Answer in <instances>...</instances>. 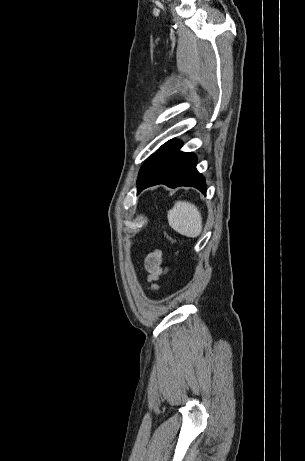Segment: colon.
<instances>
[{
    "instance_id": "colon-1",
    "label": "colon",
    "mask_w": 305,
    "mask_h": 461,
    "mask_svg": "<svg viewBox=\"0 0 305 461\" xmlns=\"http://www.w3.org/2000/svg\"><path fill=\"white\" fill-rule=\"evenodd\" d=\"M164 236H165L166 240H168L171 243H174V240H173V238L171 236H169L168 234H165Z\"/></svg>"
}]
</instances>
